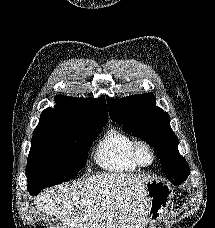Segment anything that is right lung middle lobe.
I'll use <instances>...</instances> for the list:
<instances>
[{"instance_id":"obj_1","label":"right lung middle lobe","mask_w":215,"mask_h":228,"mask_svg":"<svg viewBox=\"0 0 215 228\" xmlns=\"http://www.w3.org/2000/svg\"><path fill=\"white\" fill-rule=\"evenodd\" d=\"M106 123L53 128L33 134L28 156L27 189H41L74 178L85 166L89 148Z\"/></svg>"}]
</instances>
